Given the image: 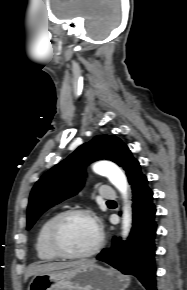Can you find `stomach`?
<instances>
[{"label":"stomach","mask_w":187,"mask_h":290,"mask_svg":"<svg viewBox=\"0 0 187 290\" xmlns=\"http://www.w3.org/2000/svg\"><path fill=\"white\" fill-rule=\"evenodd\" d=\"M130 278L96 263L35 275L28 290H125Z\"/></svg>","instance_id":"obj_1"}]
</instances>
